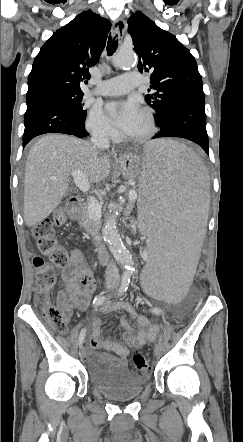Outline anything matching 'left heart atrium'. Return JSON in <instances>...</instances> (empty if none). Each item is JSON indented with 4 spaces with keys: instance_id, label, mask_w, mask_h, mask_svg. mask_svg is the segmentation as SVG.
Returning a JSON list of instances; mask_svg holds the SVG:
<instances>
[{
    "instance_id": "1",
    "label": "left heart atrium",
    "mask_w": 243,
    "mask_h": 442,
    "mask_svg": "<svg viewBox=\"0 0 243 442\" xmlns=\"http://www.w3.org/2000/svg\"><path fill=\"white\" fill-rule=\"evenodd\" d=\"M106 112L114 125L127 134L137 122L142 111L135 101L129 100L123 103H108Z\"/></svg>"
}]
</instances>
